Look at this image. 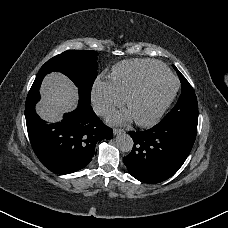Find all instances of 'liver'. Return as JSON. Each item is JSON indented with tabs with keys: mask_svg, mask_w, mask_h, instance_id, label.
Here are the masks:
<instances>
[{
	"mask_svg": "<svg viewBox=\"0 0 228 228\" xmlns=\"http://www.w3.org/2000/svg\"><path fill=\"white\" fill-rule=\"evenodd\" d=\"M42 96L44 101L38 106V112L48 121H56L61 115L60 111H69L75 108L77 101V88L64 75L53 73L43 82Z\"/></svg>",
	"mask_w": 228,
	"mask_h": 228,
	"instance_id": "obj_1",
	"label": "liver"
}]
</instances>
